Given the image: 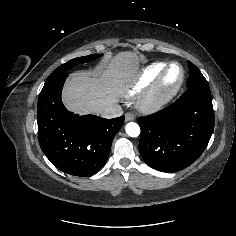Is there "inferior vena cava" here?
<instances>
[{
    "instance_id": "602c4592",
    "label": "inferior vena cava",
    "mask_w": 236,
    "mask_h": 236,
    "mask_svg": "<svg viewBox=\"0 0 236 236\" xmlns=\"http://www.w3.org/2000/svg\"><path fill=\"white\" fill-rule=\"evenodd\" d=\"M123 114L122 108L120 105H112L106 107L102 112L101 116L103 118H115Z\"/></svg>"
}]
</instances>
